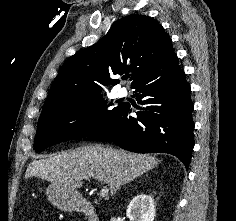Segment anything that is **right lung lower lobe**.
I'll return each instance as SVG.
<instances>
[{
  "label": "right lung lower lobe",
  "instance_id": "obj_1",
  "mask_svg": "<svg viewBox=\"0 0 236 221\" xmlns=\"http://www.w3.org/2000/svg\"><path fill=\"white\" fill-rule=\"evenodd\" d=\"M136 89L137 118L125 103L107 124L87 140H111L138 153H169L188 168L194 147L193 103L190 86L177 64V55L164 67L139 80Z\"/></svg>",
  "mask_w": 236,
  "mask_h": 221
}]
</instances>
